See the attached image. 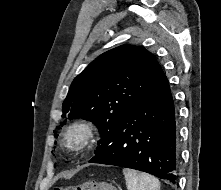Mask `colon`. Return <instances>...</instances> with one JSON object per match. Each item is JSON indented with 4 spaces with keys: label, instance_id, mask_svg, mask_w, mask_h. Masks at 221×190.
Here are the masks:
<instances>
[{
    "label": "colon",
    "instance_id": "5ec220e1",
    "mask_svg": "<svg viewBox=\"0 0 221 190\" xmlns=\"http://www.w3.org/2000/svg\"><path fill=\"white\" fill-rule=\"evenodd\" d=\"M54 190H116L114 186L106 182L87 181L81 184L56 187Z\"/></svg>",
    "mask_w": 221,
    "mask_h": 190
}]
</instances>
